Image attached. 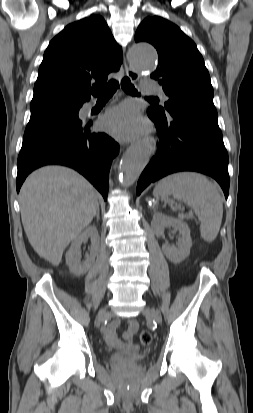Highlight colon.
<instances>
[{"mask_svg":"<svg viewBox=\"0 0 253 413\" xmlns=\"http://www.w3.org/2000/svg\"><path fill=\"white\" fill-rule=\"evenodd\" d=\"M139 340L143 345L150 344L152 341V335L149 331H142L139 334Z\"/></svg>","mask_w":253,"mask_h":413,"instance_id":"5ec220e1","label":"colon"}]
</instances>
